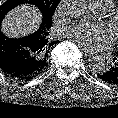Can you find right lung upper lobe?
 <instances>
[{"instance_id":"cb5924a9","label":"right lung upper lobe","mask_w":118,"mask_h":118,"mask_svg":"<svg viewBox=\"0 0 118 118\" xmlns=\"http://www.w3.org/2000/svg\"><path fill=\"white\" fill-rule=\"evenodd\" d=\"M52 25V21L44 22L40 28L33 33L36 48V71L41 73L47 67L48 53L55 41L48 38V30Z\"/></svg>"}]
</instances>
